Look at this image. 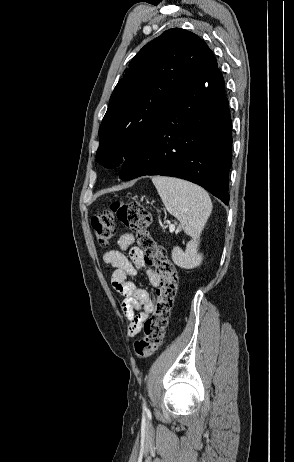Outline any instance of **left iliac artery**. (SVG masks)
Listing matches in <instances>:
<instances>
[{"label":"left iliac artery","instance_id":"44dca946","mask_svg":"<svg viewBox=\"0 0 294 462\" xmlns=\"http://www.w3.org/2000/svg\"><path fill=\"white\" fill-rule=\"evenodd\" d=\"M143 409L147 410L145 401H143Z\"/></svg>","mask_w":294,"mask_h":462}]
</instances>
